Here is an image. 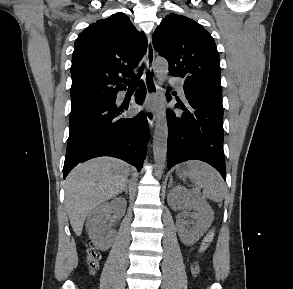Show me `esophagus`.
I'll return each mask as SVG.
<instances>
[{
  "instance_id": "obj_1",
  "label": "esophagus",
  "mask_w": 293,
  "mask_h": 289,
  "mask_svg": "<svg viewBox=\"0 0 293 289\" xmlns=\"http://www.w3.org/2000/svg\"><path fill=\"white\" fill-rule=\"evenodd\" d=\"M155 50L152 43L151 36H148V46H147V71L144 74V83L147 89V109L146 116L150 129H153L156 120V97L158 94V86L155 79Z\"/></svg>"
}]
</instances>
